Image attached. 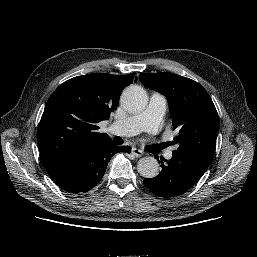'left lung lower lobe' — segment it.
I'll return each instance as SVG.
<instances>
[{"mask_svg": "<svg viewBox=\"0 0 257 257\" xmlns=\"http://www.w3.org/2000/svg\"><path fill=\"white\" fill-rule=\"evenodd\" d=\"M209 166L208 163L193 155L175 150L172 158L166 163H163L161 159L162 170L158 176L146 178L143 182L151 192L159 197H176L194 186Z\"/></svg>", "mask_w": 257, "mask_h": 257, "instance_id": "obj_1", "label": "left lung lower lobe"}]
</instances>
